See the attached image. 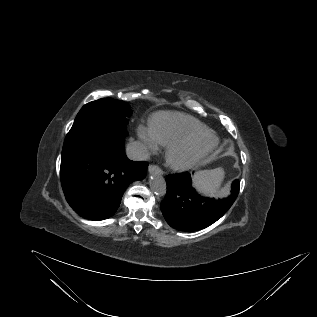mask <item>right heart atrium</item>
<instances>
[{
	"instance_id": "obj_1",
	"label": "right heart atrium",
	"mask_w": 317,
	"mask_h": 317,
	"mask_svg": "<svg viewBox=\"0 0 317 317\" xmlns=\"http://www.w3.org/2000/svg\"><path fill=\"white\" fill-rule=\"evenodd\" d=\"M136 132L145 153L155 152L159 148V144L153 136L149 126L140 124L138 125Z\"/></svg>"
}]
</instances>
